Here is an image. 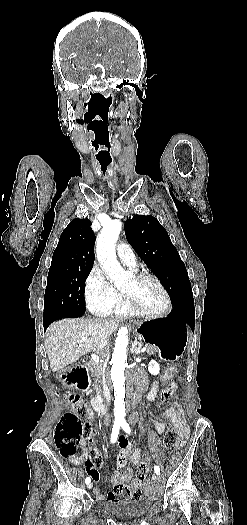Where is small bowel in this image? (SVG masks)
Instances as JSON below:
<instances>
[{"label":"small bowel","instance_id":"small-bowel-1","mask_svg":"<svg viewBox=\"0 0 247 525\" xmlns=\"http://www.w3.org/2000/svg\"><path fill=\"white\" fill-rule=\"evenodd\" d=\"M169 376L170 374H167V378ZM167 388L171 389L174 392L177 388L176 382L170 383ZM158 392L159 387H154V385L152 384L151 388L145 395L146 400H154L157 397ZM167 424H173L177 428L178 433L183 440L188 436V428L184 420L182 419V410L177 404L174 407L164 410L161 416H159L156 419V434H163ZM88 442L89 436L86 435L83 437L80 443L81 448L83 450V454L81 456H70L69 460L75 466L84 465L86 472L90 476V479L92 481H97L101 479V476L94 474L93 472V469L95 468V462H97L96 466L99 469L104 468L105 463L95 451H91L90 453L87 451ZM116 443L119 446L120 450L116 455L117 470L110 475V480L114 484L113 490L106 495H103V490L101 488H96L94 490V495L96 497H99L100 499H103V503L105 506L120 505V495L122 492V486L125 485L132 476V470L126 467L128 461H130L133 465H138L143 457L148 463L151 462L153 459L157 462L163 461V456L157 448H153L149 452L145 451L144 448L133 449L131 443L124 435H118ZM131 489L133 491H137V493H140V484L138 482H133L131 484ZM140 498L141 495H135L127 499L131 501H138Z\"/></svg>","mask_w":247,"mask_h":525}]
</instances>
